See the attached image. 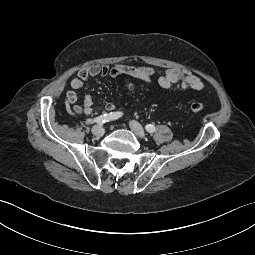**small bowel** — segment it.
Instances as JSON below:
<instances>
[{"label": "small bowel", "instance_id": "obj_1", "mask_svg": "<svg viewBox=\"0 0 255 255\" xmlns=\"http://www.w3.org/2000/svg\"><path fill=\"white\" fill-rule=\"evenodd\" d=\"M120 75L137 78L147 83L156 81L160 87L165 89L176 87L179 89L202 90L204 88V82L199 76L177 68L160 71L152 67L120 63L112 66L95 64L82 68L70 81L71 90L67 91L66 98L68 103L73 105L72 112L75 115L82 113L90 115L93 112L94 103L90 94L84 95L82 106L75 105L78 99L75 90L82 88L87 80L98 76L117 77ZM106 110L113 113L115 104L107 103Z\"/></svg>", "mask_w": 255, "mask_h": 255}]
</instances>
